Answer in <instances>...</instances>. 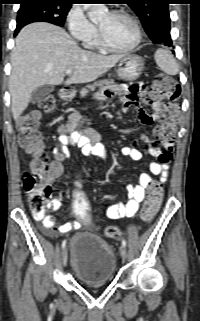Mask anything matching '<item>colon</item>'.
<instances>
[{
    "mask_svg": "<svg viewBox=\"0 0 200 321\" xmlns=\"http://www.w3.org/2000/svg\"><path fill=\"white\" fill-rule=\"evenodd\" d=\"M146 91V90H145ZM180 96L179 85L165 74L157 75L150 91H146L143 99L150 102L161 103L165 107V116L162 124L158 126V136L164 141L166 158L172 157V145L175 139V129L178 125L177 107L173 102ZM41 108L45 112H52L55 108V99L52 96L44 98ZM38 114L33 113L22 117L18 122L19 143L31 155L32 159L29 169L24 173L23 188L28 196L31 212L36 217H43L47 212L48 197L51 192V183L58 174V166L50 162L43 152L40 132L38 130ZM79 186H84V181H79ZM77 185V182H74ZM162 200V188L157 182H152L149 187V194L140 212L143 222L149 223L157 214ZM71 212L76 216V222L89 224L90 206L89 197L85 196V191H72ZM106 235L110 238H118L120 231L116 227L106 229Z\"/></svg>",
    "mask_w": 200,
    "mask_h": 321,
    "instance_id": "5ec220e1",
    "label": "colon"
}]
</instances>
